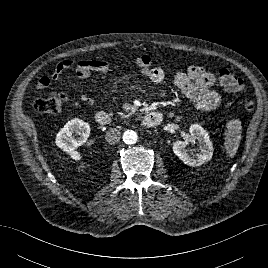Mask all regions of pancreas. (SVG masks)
I'll use <instances>...</instances> for the list:
<instances>
[{"label":"pancreas","mask_w":268,"mask_h":268,"mask_svg":"<svg viewBox=\"0 0 268 268\" xmlns=\"http://www.w3.org/2000/svg\"><path fill=\"white\" fill-rule=\"evenodd\" d=\"M118 114H119V116H120L121 118H125V117H126V115L123 114V113H118Z\"/></svg>","instance_id":"1"}]
</instances>
